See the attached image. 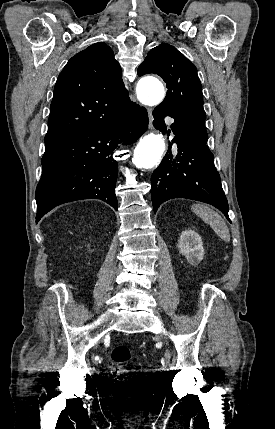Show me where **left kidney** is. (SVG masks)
Segmentation results:
<instances>
[{
    "label": "left kidney",
    "instance_id": "1",
    "mask_svg": "<svg viewBox=\"0 0 275 429\" xmlns=\"http://www.w3.org/2000/svg\"><path fill=\"white\" fill-rule=\"evenodd\" d=\"M178 248L191 265H197L203 259V241L194 230L187 229L182 232Z\"/></svg>",
    "mask_w": 275,
    "mask_h": 429
}]
</instances>
